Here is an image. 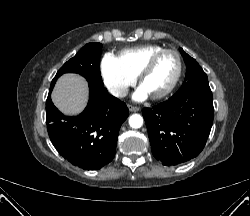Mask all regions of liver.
<instances>
[{
  "instance_id": "1",
  "label": "liver",
  "mask_w": 250,
  "mask_h": 216,
  "mask_svg": "<svg viewBox=\"0 0 250 216\" xmlns=\"http://www.w3.org/2000/svg\"><path fill=\"white\" fill-rule=\"evenodd\" d=\"M88 97L86 81L76 74H65L57 82L52 98L64 113L74 114L82 110Z\"/></svg>"
}]
</instances>
